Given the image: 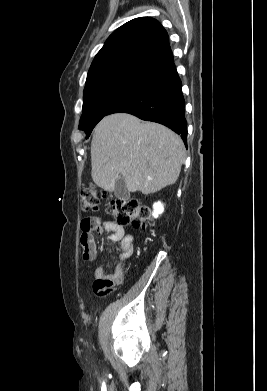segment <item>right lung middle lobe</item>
<instances>
[{
  "label": "right lung middle lobe",
  "instance_id": "obj_1",
  "mask_svg": "<svg viewBox=\"0 0 267 391\" xmlns=\"http://www.w3.org/2000/svg\"><path fill=\"white\" fill-rule=\"evenodd\" d=\"M150 77L151 75L134 72H115L86 82L79 123V129L85 131L86 138L115 105L145 84Z\"/></svg>",
  "mask_w": 267,
  "mask_h": 391
}]
</instances>
